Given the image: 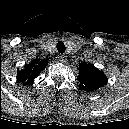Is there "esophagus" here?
Segmentation results:
<instances>
[{"instance_id":"esophagus-1","label":"esophagus","mask_w":129,"mask_h":129,"mask_svg":"<svg viewBox=\"0 0 129 129\" xmlns=\"http://www.w3.org/2000/svg\"><path fill=\"white\" fill-rule=\"evenodd\" d=\"M58 60H59L60 62H65V61H66V56L63 55V54H60V55L58 56Z\"/></svg>"}]
</instances>
